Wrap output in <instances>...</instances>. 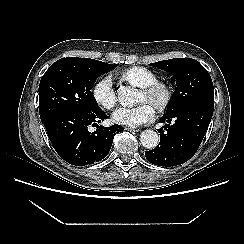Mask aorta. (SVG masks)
Returning a JSON list of instances; mask_svg holds the SVG:
<instances>
[{
    "label": "aorta",
    "mask_w": 244,
    "mask_h": 244,
    "mask_svg": "<svg viewBox=\"0 0 244 244\" xmlns=\"http://www.w3.org/2000/svg\"><path fill=\"white\" fill-rule=\"evenodd\" d=\"M119 102L123 106H132L136 102L137 92L135 89L127 86H120L117 90ZM140 142L147 149L155 148L159 143V136L153 130H145L140 135Z\"/></svg>",
    "instance_id": "1"
}]
</instances>
